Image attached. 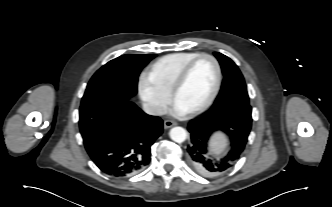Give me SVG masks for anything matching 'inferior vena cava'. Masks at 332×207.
Instances as JSON below:
<instances>
[{
  "instance_id": "obj_1",
  "label": "inferior vena cava",
  "mask_w": 332,
  "mask_h": 207,
  "mask_svg": "<svg viewBox=\"0 0 332 207\" xmlns=\"http://www.w3.org/2000/svg\"><path fill=\"white\" fill-rule=\"evenodd\" d=\"M143 110L145 113L149 114V115H164L166 114V109L161 107V106H157V105H153L150 103H144L143 104Z\"/></svg>"
}]
</instances>
